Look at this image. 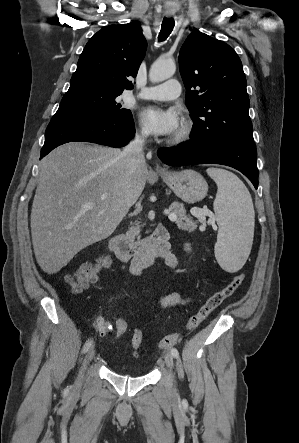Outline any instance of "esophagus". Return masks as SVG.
Segmentation results:
<instances>
[{
	"label": "esophagus",
	"instance_id": "obj_1",
	"mask_svg": "<svg viewBox=\"0 0 299 443\" xmlns=\"http://www.w3.org/2000/svg\"><path fill=\"white\" fill-rule=\"evenodd\" d=\"M167 15H168V16H172V15H173V12H172V11H167ZM155 169H156L158 172H162V171H164V168H163L161 165H159V164H156V165H155Z\"/></svg>",
	"mask_w": 299,
	"mask_h": 443
}]
</instances>
